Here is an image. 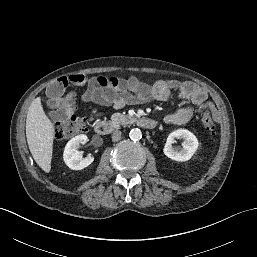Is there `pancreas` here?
Returning a JSON list of instances; mask_svg holds the SVG:
<instances>
[{"label": "pancreas", "instance_id": "cf45deb5", "mask_svg": "<svg viewBox=\"0 0 257 257\" xmlns=\"http://www.w3.org/2000/svg\"><path fill=\"white\" fill-rule=\"evenodd\" d=\"M133 118L128 115H124L122 113H114L111 116V121L110 124L114 127L117 128L120 125H125L128 122H130Z\"/></svg>", "mask_w": 257, "mask_h": 257}]
</instances>
